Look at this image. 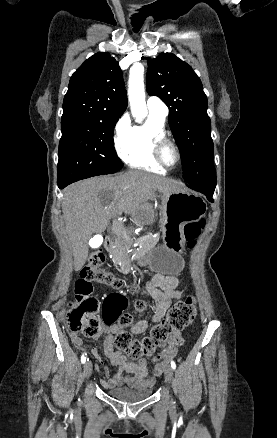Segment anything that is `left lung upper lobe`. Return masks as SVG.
<instances>
[{
	"instance_id": "5c2ea615",
	"label": "left lung upper lobe",
	"mask_w": 277,
	"mask_h": 438,
	"mask_svg": "<svg viewBox=\"0 0 277 438\" xmlns=\"http://www.w3.org/2000/svg\"><path fill=\"white\" fill-rule=\"evenodd\" d=\"M147 63V92L169 107V124L180 150L185 181L189 186L215 189L211 122L199 77L171 53H161Z\"/></svg>"
}]
</instances>
